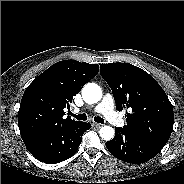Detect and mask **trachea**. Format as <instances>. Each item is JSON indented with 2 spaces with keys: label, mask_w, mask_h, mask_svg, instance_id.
<instances>
[{
  "label": "trachea",
  "mask_w": 184,
  "mask_h": 184,
  "mask_svg": "<svg viewBox=\"0 0 184 184\" xmlns=\"http://www.w3.org/2000/svg\"><path fill=\"white\" fill-rule=\"evenodd\" d=\"M71 116H73L77 120H83V121L87 120L86 114H78V115H76V114L71 113ZM94 121L98 122V123H104V119L99 117V116L94 117Z\"/></svg>",
  "instance_id": "obj_1"
}]
</instances>
